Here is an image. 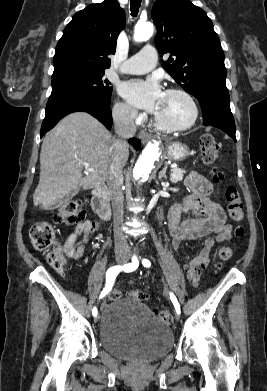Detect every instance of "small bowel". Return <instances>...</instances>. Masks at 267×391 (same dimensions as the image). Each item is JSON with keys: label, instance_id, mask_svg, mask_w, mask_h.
<instances>
[{"label": "small bowel", "instance_id": "1", "mask_svg": "<svg viewBox=\"0 0 267 391\" xmlns=\"http://www.w3.org/2000/svg\"><path fill=\"white\" fill-rule=\"evenodd\" d=\"M185 184L191 194L175 204L169 212V233L173 251L176 252L185 241L215 234L214 237L205 240L199 255L184 265L188 280L193 286H197L203 270L210 263L214 245L231 238L232 226L226 222L223 207L212 198L213 186L205 177L197 172H191ZM184 211L193 212L197 218L181 221V213ZM99 227L98 223L90 220L80 221L59 249L64 259L79 260L90 235Z\"/></svg>", "mask_w": 267, "mask_h": 391}]
</instances>
